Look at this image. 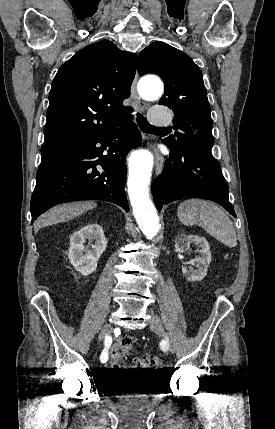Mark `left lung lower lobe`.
<instances>
[{
    "label": "left lung lower lobe",
    "mask_w": 275,
    "mask_h": 429,
    "mask_svg": "<svg viewBox=\"0 0 275 429\" xmlns=\"http://www.w3.org/2000/svg\"><path fill=\"white\" fill-rule=\"evenodd\" d=\"M151 190L158 211L175 200L203 198L222 205L236 217L219 162L203 148L170 149V157L161 175L151 184Z\"/></svg>",
    "instance_id": "1"
}]
</instances>
